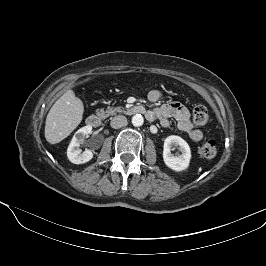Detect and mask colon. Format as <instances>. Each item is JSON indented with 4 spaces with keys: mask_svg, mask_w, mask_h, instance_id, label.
<instances>
[{
    "mask_svg": "<svg viewBox=\"0 0 266 266\" xmlns=\"http://www.w3.org/2000/svg\"><path fill=\"white\" fill-rule=\"evenodd\" d=\"M193 121L198 126H205L210 121V116L208 114L207 109L202 106L198 105L194 108L193 111ZM217 154V143L214 140L206 141L200 148H199V155L203 159H213Z\"/></svg>",
    "mask_w": 266,
    "mask_h": 266,
    "instance_id": "5ec220e1",
    "label": "colon"
}]
</instances>
